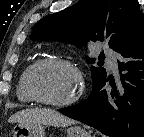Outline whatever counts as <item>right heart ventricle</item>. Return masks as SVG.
<instances>
[{"label":"right heart ventricle","mask_w":144,"mask_h":137,"mask_svg":"<svg viewBox=\"0 0 144 137\" xmlns=\"http://www.w3.org/2000/svg\"><path fill=\"white\" fill-rule=\"evenodd\" d=\"M37 61L33 62L32 64H30L25 70L24 72L21 74L18 84H17V89H16V95L17 98L24 103H31L34 100L30 97V95L28 94L27 90H26V79H27V75L28 72L30 70V68L36 63Z\"/></svg>","instance_id":"1"}]
</instances>
